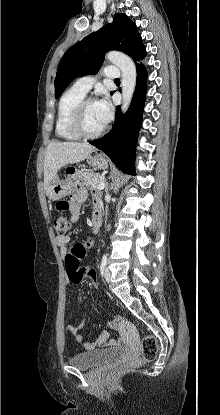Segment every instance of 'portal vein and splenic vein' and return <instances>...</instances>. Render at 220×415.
<instances>
[{
  "label": "portal vein and splenic vein",
  "mask_w": 220,
  "mask_h": 415,
  "mask_svg": "<svg viewBox=\"0 0 220 415\" xmlns=\"http://www.w3.org/2000/svg\"><path fill=\"white\" fill-rule=\"evenodd\" d=\"M105 188V183L104 182H102V183H100L99 184V186L97 187V190H102V189H104Z\"/></svg>",
  "instance_id": "portal-vein-and-splenic-vein-1"
}]
</instances>
